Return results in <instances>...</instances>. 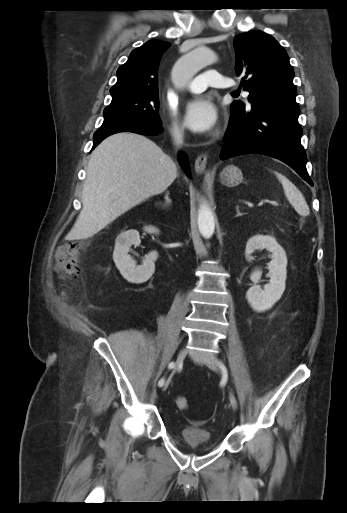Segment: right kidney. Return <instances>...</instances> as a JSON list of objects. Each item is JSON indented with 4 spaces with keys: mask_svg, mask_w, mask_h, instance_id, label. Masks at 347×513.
Masks as SVG:
<instances>
[{
    "mask_svg": "<svg viewBox=\"0 0 347 513\" xmlns=\"http://www.w3.org/2000/svg\"><path fill=\"white\" fill-rule=\"evenodd\" d=\"M144 231L149 234H159V230L153 226H145ZM141 242L139 232L128 230L122 232L115 242L113 260L121 275L129 282L143 283L147 281L155 271L154 261L158 257L156 251L150 252L143 260L142 265H136L128 254L131 245H139Z\"/></svg>",
    "mask_w": 347,
    "mask_h": 513,
    "instance_id": "ca27d5eb",
    "label": "right kidney"
}]
</instances>
